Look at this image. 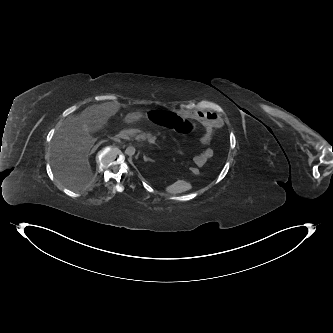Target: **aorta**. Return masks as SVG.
Listing matches in <instances>:
<instances>
[{"instance_id":"obj_1","label":"aorta","mask_w":333,"mask_h":333,"mask_svg":"<svg viewBox=\"0 0 333 333\" xmlns=\"http://www.w3.org/2000/svg\"><path fill=\"white\" fill-rule=\"evenodd\" d=\"M136 152V148L134 146H128L125 150V153L128 155V156H132L134 155Z\"/></svg>"}]
</instances>
